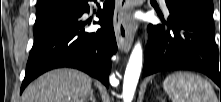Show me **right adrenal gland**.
Masks as SVG:
<instances>
[{"label":"right adrenal gland","mask_w":221,"mask_h":102,"mask_svg":"<svg viewBox=\"0 0 221 102\" xmlns=\"http://www.w3.org/2000/svg\"><path fill=\"white\" fill-rule=\"evenodd\" d=\"M96 102V99H95V96H94V93H93V90H91L90 92V96H89V100L87 102Z\"/></svg>","instance_id":"right-adrenal-gland-1"}]
</instances>
